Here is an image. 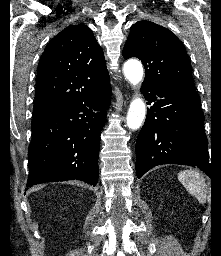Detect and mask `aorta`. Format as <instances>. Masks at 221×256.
Instances as JSON below:
<instances>
[{
  "instance_id": "1",
  "label": "aorta",
  "mask_w": 221,
  "mask_h": 256,
  "mask_svg": "<svg viewBox=\"0 0 221 256\" xmlns=\"http://www.w3.org/2000/svg\"><path fill=\"white\" fill-rule=\"evenodd\" d=\"M126 79L133 85L138 86L143 79V67L137 60H129L123 67ZM146 115L144 101L135 97L129 106L127 113V126L129 129L137 130L143 123Z\"/></svg>"
}]
</instances>
